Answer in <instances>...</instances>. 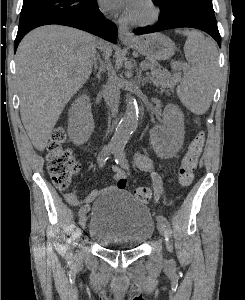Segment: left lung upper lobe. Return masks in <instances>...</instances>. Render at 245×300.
Segmentation results:
<instances>
[{
    "instance_id": "5c2ea615",
    "label": "left lung upper lobe",
    "mask_w": 245,
    "mask_h": 300,
    "mask_svg": "<svg viewBox=\"0 0 245 300\" xmlns=\"http://www.w3.org/2000/svg\"><path fill=\"white\" fill-rule=\"evenodd\" d=\"M159 6L160 15L168 14L176 6H194L214 12L211 0H153Z\"/></svg>"
}]
</instances>
